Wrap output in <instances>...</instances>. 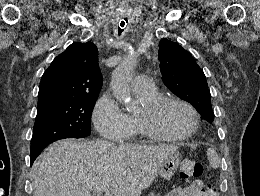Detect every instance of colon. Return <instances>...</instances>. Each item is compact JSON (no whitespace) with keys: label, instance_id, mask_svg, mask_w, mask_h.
<instances>
[{"label":"colon","instance_id":"colon-1","mask_svg":"<svg viewBox=\"0 0 260 196\" xmlns=\"http://www.w3.org/2000/svg\"><path fill=\"white\" fill-rule=\"evenodd\" d=\"M180 178L186 183L200 182L205 178L203 166L193 160H183L180 163Z\"/></svg>","mask_w":260,"mask_h":196}]
</instances>
